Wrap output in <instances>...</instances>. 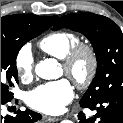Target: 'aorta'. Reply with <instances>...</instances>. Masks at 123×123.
Returning <instances> with one entry per match:
<instances>
[{
    "instance_id": "762f6f07",
    "label": "aorta",
    "mask_w": 123,
    "mask_h": 123,
    "mask_svg": "<svg viewBox=\"0 0 123 123\" xmlns=\"http://www.w3.org/2000/svg\"><path fill=\"white\" fill-rule=\"evenodd\" d=\"M57 71H58V64L55 59L42 60L35 67L36 74L40 78L46 80L57 78L58 76ZM60 123H73V122L70 120H63Z\"/></svg>"
}]
</instances>
